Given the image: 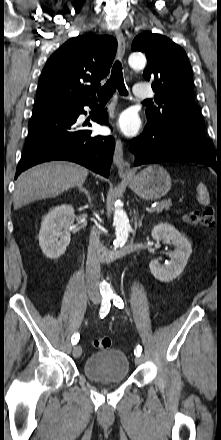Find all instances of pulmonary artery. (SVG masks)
<instances>
[{"label":"pulmonary artery","instance_id":"obj_1","mask_svg":"<svg viewBox=\"0 0 221 440\" xmlns=\"http://www.w3.org/2000/svg\"><path fill=\"white\" fill-rule=\"evenodd\" d=\"M134 94L136 97L141 99H149L153 97V91L142 83L135 84Z\"/></svg>","mask_w":221,"mask_h":440}]
</instances>
